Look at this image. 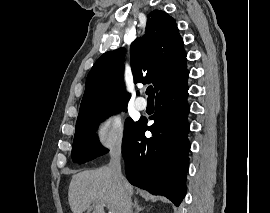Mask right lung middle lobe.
I'll list each match as a JSON object with an SVG mask.
<instances>
[{"mask_svg":"<svg viewBox=\"0 0 270 213\" xmlns=\"http://www.w3.org/2000/svg\"><path fill=\"white\" fill-rule=\"evenodd\" d=\"M126 106H120L108 111L100 112L93 116L82 119L76 123V132L73 141L72 159L76 163H84L108 152L99 143L94 134L99 122L106 116L116 113ZM136 122L127 118L125 122L124 136L134 127Z\"/></svg>","mask_w":270,"mask_h":213,"instance_id":"dd1d6c3e","label":"right lung middle lobe"}]
</instances>
